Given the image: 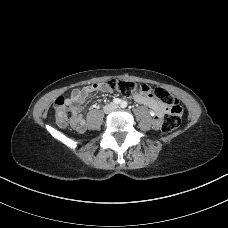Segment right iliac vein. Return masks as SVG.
<instances>
[{
	"label": "right iliac vein",
	"mask_w": 228,
	"mask_h": 228,
	"mask_svg": "<svg viewBox=\"0 0 228 228\" xmlns=\"http://www.w3.org/2000/svg\"><path fill=\"white\" fill-rule=\"evenodd\" d=\"M111 109H112V106L111 105H108V106L105 107V111L106 112H109Z\"/></svg>",
	"instance_id": "right-iliac-vein-1"
}]
</instances>
